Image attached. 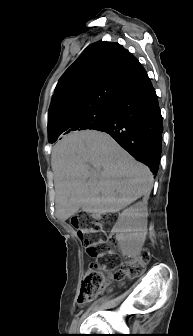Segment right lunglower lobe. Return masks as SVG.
Returning <instances> with one entry per match:
<instances>
[{
	"label": "right lung lower lobe",
	"instance_id": "98d812e1",
	"mask_svg": "<svg viewBox=\"0 0 193 336\" xmlns=\"http://www.w3.org/2000/svg\"><path fill=\"white\" fill-rule=\"evenodd\" d=\"M120 146L156 174L162 148V116L155 90L140 66L113 101L105 125Z\"/></svg>",
	"mask_w": 193,
	"mask_h": 336
}]
</instances>
